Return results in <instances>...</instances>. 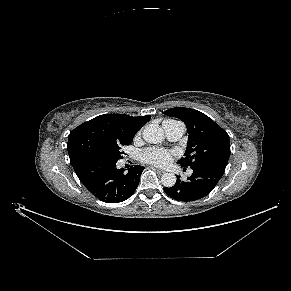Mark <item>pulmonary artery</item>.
I'll list each match as a JSON object with an SVG mask.
<instances>
[{"label":"pulmonary artery","instance_id":"1","mask_svg":"<svg viewBox=\"0 0 291 291\" xmlns=\"http://www.w3.org/2000/svg\"><path fill=\"white\" fill-rule=\"evenodd\" d=\"M163 129L165 131L167 138L171 141L179 140L185 132L184 125L178 121L164 122ZM189 173L191 174V171Z\"/></svg>","mask_w":291,"mask_h":291}]
</instances>
